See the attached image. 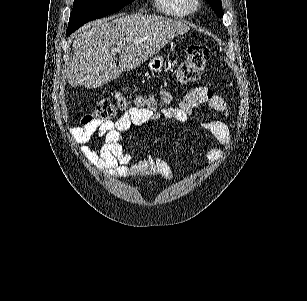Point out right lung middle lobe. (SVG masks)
Instances as JSON below:
<instances>
[{"label": "right lung middle lobe", "mask_w": 307, "mask_h": 301, "mask_svg": "<svg viewBox=\"0 0 307 301\" xmlns=\"http://www.w3.org/2000/svg\"><path fill=\"white\" fill-rule=\"evenodd\" d=\"M132 1L134 0H74L66 36L91 20L119 11Z\"/></svg>", "instance_id": "obj_1"}]
</instances>
